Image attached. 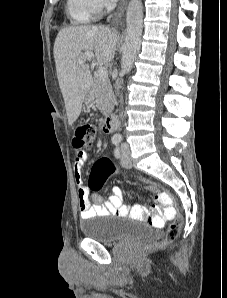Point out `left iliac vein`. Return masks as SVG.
I'll return each instance as SVG.
<instances>
[{
	"label": "left iliac vein",
	"instance_id": "1",
	"mask_svg": "<svg viewBox=\"0 0 227 298\" xmlns=\"http://www.w3.org/2000/svg\"><path fill=\"white\" fill-rule=\"evenodd\" d=\"M121 165L124 168H131L132 167L131 153H130V149L127 145H124L123 148H122Z\"/></svg>",
	"mask_w": 227,
	"mask_h": 298
}]
</instances>
